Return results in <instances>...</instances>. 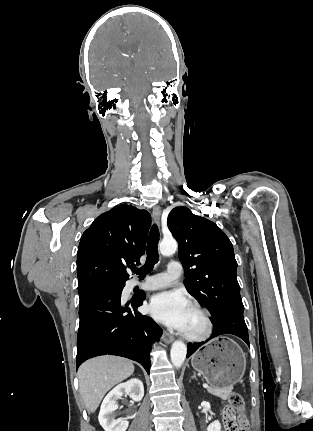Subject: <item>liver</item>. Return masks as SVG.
<instances>
[{"label":"liver","mask_w":313,"mask_h":431,"mask_svg":"<svg viewBox=\"0 0 313 431\" xmlns=\"http://www.w3.org/2000/svg\"><path fill=\"white\" fill-rule=\"evenodd\" d=\"M134 372L132 361L116 356H100L78 369L80 394L88 412H95L104 395Z\"/></svg>","instance_id":"6515ba94"}]
</instances>
